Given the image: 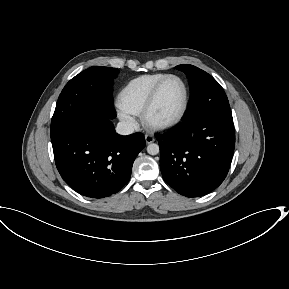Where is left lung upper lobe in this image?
<instances>
[{
    "instance_id": "obj_1",
    "label": "left lung upper lobe",
    "mask_w": 289,
    "mask_h": 289,
    "mask_svg": "<svg viewBox=\"0 0 289 289\" xmlns=\"http://www.w3.org/2000/svg\"><path fill=\"white\" fill-rule=\"evenodd\" d=\"M176 68L186 74L190 86V100L183 122L202 115L232 120L227 96L211 75L189 64L178 65Z\"/></svg>"
}]
</instances>
